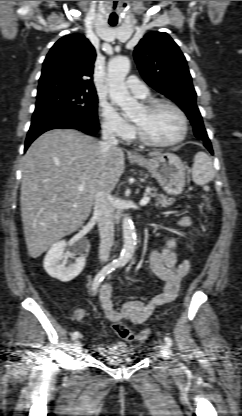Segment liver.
Wrapping results in <instances>:
<instances>
[{
    "label": "liver",
    "instance_id": "obj_1",
    "mask_svg": "<svg viewBox=\"0 0 242 416\" xmlns=\"http://www.w3.org/2000/svg\"><path fill=\"white\" fill-rule=\"evenodd\" d=\"M159 152H150L157 157ZM125 169L121 148L102 159L100 141L74 129L39 136L24 157L21 213L28 253L39 257L80 228L100 189L112 191ZM84 186L83 191L78 187Z\"/></svg>",
    "mask_w": 242,
    "mask_h": 416
}]
</instances>
